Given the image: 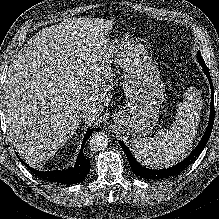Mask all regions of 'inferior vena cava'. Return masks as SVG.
<instances>
[{
    "label": "inferior vena cava",
    "instance_id": "602c4592",
    "mask_svg": "<svg viewBox=\"0 0 219 219\" xmlns=\"http://www.w3.org/2000/svg\"><path fill=\"white\" fill-rule=\"evenodd\" d=\"M95 116V113L89 109V108H84L82 109V111L79 113V117L81 119H87L89 117H94Z\"/></svg>",
    "mask_w": 219,
    "mask_h": 219
}]
</instances>
